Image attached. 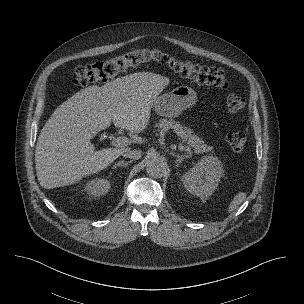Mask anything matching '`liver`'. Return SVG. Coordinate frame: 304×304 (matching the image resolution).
Here are the masks:
<instances>
[{"label": "liver", "instance_id": "obj_1", "mask_svg": "<svg viewBox=\"0 0 304 304\" xmlns=\"http://www.w3.org/2000/svg\"><path fill=\"white\" fill-rule=\"evenodd\" d=\"M169 83L168 77L138 72L84 88L62 103L37 140L40 185L52 189L73 184L108 167L128 148L95 151L91 139L112 122L131 133L146 129L154 100Z\"/></svg>", "mask_w": 304, "mask_h": 304}]
</instances>
